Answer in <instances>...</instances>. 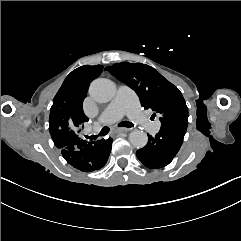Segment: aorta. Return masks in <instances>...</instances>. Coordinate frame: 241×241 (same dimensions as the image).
Listing matches in <instances>:
<instances>
[{
  "instance_id": "1",
  "label": "aorta",
  "mask_w": 241,
  "mask_h": 241,
  "mask_svg": "<svg viewBox=\"0 0 241 241\" xmlns=\"http://www.w3.org/2000/svg\"><path fill=\"white\" fill-rule=\"evenodd\" d=\"M89 93L97 102H109L116 94V85L109 79L98 78L91 83ZM129 141L135 148H143L148 142V136L144 131L136 129L129 134Z\"/></svg>"
}]
</instances>
